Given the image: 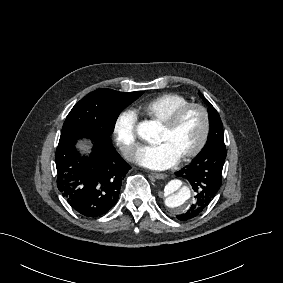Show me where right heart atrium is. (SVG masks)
<instances>
[{"label": "right heart atrium", "instance_id": "right-heart-atrium-1", "mask_svg": "<svg viewBox=\"0 0 283 283\" xmlns=\"http://www.w3.org/2000/svg\"><path fill=\"white\" fill-rule=\"evenodd\" d=\"M137 118L133 110L125 108L114 119L111 129L113 142L127 159H132L137 148Z\"/></svg>", "mask_w": 283, "mask_h": 283}]
</instances>
